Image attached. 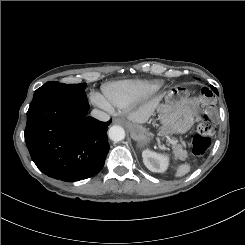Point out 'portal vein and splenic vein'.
<instances>
[{
  "label": "portal vein and splenic vein",
  "mask_w": 245,
  "mask_h": 245,
  "mask_svg": "<svg viewBox=\"0 0 245 245\" xmlns=\"http://www.w3.org/2000/svg\"><path fill=\"white\" fill-rule=\"evenodd\" d=\"M168 142H170V143H172V144H175V143H176V141L171 140V139H168Z\"/></svg>",
  "instance_id": "obj_1"
}]
</instances>
